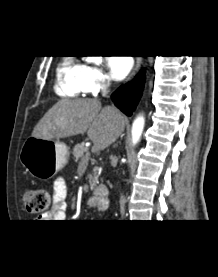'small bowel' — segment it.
<instances>
[{"instance_id":"1","label":"small bowel","mask_w":218,"mask_h":277,"mask_svg":"<svg viewBox=\"0 0 218 277\" xmlns=\"http://www.w3.org/2000/svg\"><path fill=\"white\" fill-rule=\"evenodd\" d=\"M89 205L93 206L92 200ZM67 209V185L62 177L55 180L53 186V197L51 210L41 216V220H54L55 222H63L66 219Z\"/></svg>"}]
</instances>
